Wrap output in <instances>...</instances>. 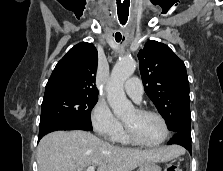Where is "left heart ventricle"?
<instances>
[{"instance_id": "1", "label": "left heart ventricle", "mask_w": 223, "mask_h": 171, "mask_svg": "<svg viewBox=\"0 0 223 171\" xmlns=\"http://www.w3.org/2000/svg\"><path fill=\"white\" fill-rule=\"evenodd\" d=\"M123 122L144 143L154 144L163 137L164 129L162 123L154 115L138 114L133 109L123 117Z\"/></svg>"}]
</instances>
